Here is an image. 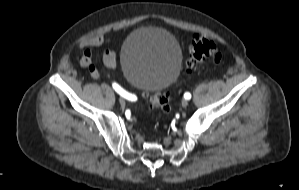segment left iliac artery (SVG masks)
I'll return each instance as SVG.
<instances>
[{
    "instance_id": "44dca946",
    "label": "left iliac artery",
    "mask_w": 299,
    "mask_h": 190,
    "mask_svg": "<svg viewBox=\"0 0 299 190\" xmlns=\"http://www.w3.org/2000/svg\"><path fill=\"white\" fill-rule=\"evenodd\" d=\"M184 98L187 99V100H189L191 98V94L189 92H186L184 94Z\"/></svg>"
}]
</instances>
